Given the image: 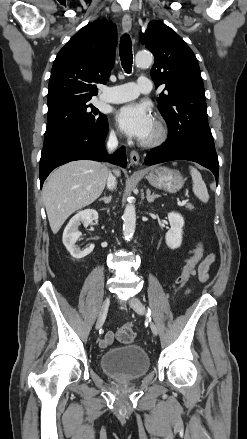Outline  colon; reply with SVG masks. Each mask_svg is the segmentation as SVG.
I'll list each match as a JSON object with an SVG mask.
<instances>
[{
	"mask_svg": "<svg viewBox=\"0 0 247 439\" xmlns=\"http://www.w3.org/2000/svg\"><path fill=\"white\" fill-rule=\"evenodd\" d=\"M203 250V244L199 241L190 251V257L186 261L181 274L175 282L176 289L181 288L190 279V277L195 274L196 268L202 258ZM135 336V331L130 324H124L118 329L116 333L117 340L123 344H129L133 342Z\"/></svg>",
	"mask_w": 247,
	"mask_h": 439,
	"instance_id": "1",
	"label": "colon"
}]
</instances>
